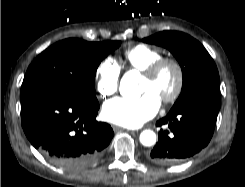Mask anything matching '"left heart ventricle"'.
Wrapping results in <instances>:
<instances>
[{
	"label": "left heart ventricle",
	"mask_w": 245,
	"mask_h": 187,
	"mask_svg": "<svg viewBox=\"0 0 245 187\" xmlns=\"http://www.w3.org/2000/svg\"><path fill=\"white\" fill-rule=\"evenodd\" d=\"M175 72L167 67L155 79L143 77L141 92L153 91L160 99L171 93L175 85Z\"/></svg>",
	"instance_id": "obj_1"
}]
</instances>
